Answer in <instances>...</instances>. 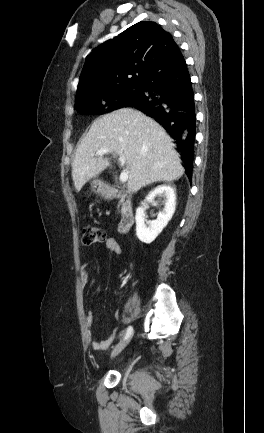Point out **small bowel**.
<instances>
[{
	"label": "small bowel",
	"instance_id": "obj_1",
	"mask_svg": "<svg viewBox=\"0 0 264 433\" xmlns=\"http://www.w3.org/2000/svg\"><path fill=\"white\" fill-rule=\"evenodd\" d=\"M105 247L108 251L119 255L121 253V246L119 245V243L113 239V238H108L105 240ZM89 261L85 262L82 266H81V270H80V281L82 285H87L89 283L90 280V275L87 271V267H88ZM93 323V317L92 314L89 313L86 316V324L88 327H91ZM119 334L118 329H113L110 332V335L108 336L107 339L102 340V341H93L91 343L92 347L94 350L96 351H103L108 349L111 344L115 341V339L117 338Z\"/></svg>",
	"mask_w": 264,
	"mask_h": 433
}]
</instances>
